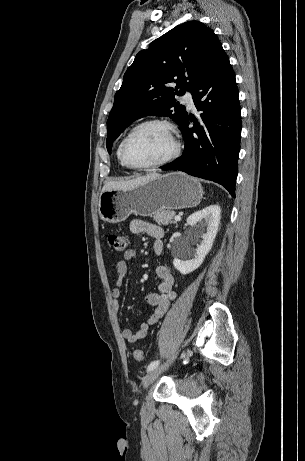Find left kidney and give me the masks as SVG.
<instances>
[{
    "label": "left kidney",
    "mask_w": 305,
    "mask_h": 461,
    "mask_svg": "<svg viewBox=\"0 0 305 461\" xmlns=\"http://www.w3.org/2000/svg\"><path fill=\"white\" fill-rule=\"evenodd\" d=\"M220 214V206L214 204L193 213L187 218V224L197 230V234L202 238V241L194 251L188 245L181 246V254H183L181 256H184V258L189 257L188 260H182L178 257L173 260L174 267L181 274H189L203 263L217 234ZM205 228L206 232H203Z\"/></svg>",
    "instance_id": "1"
}]
</instances>
